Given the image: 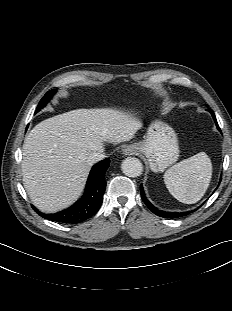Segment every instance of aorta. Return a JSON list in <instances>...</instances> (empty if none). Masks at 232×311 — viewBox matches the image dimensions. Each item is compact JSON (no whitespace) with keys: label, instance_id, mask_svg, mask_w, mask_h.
<instances>
[{"label":"aorta","instance_id":"1","mask_svg":"<svg viewBox=\"0 0 232 311\" xmlns=\"http://www.w3.org/2000/svg\"><path fill=\"white\" fill-rule=\"evenodd\" d=\"M122 172L128 177H138L142 174L143 165L141 161L134 157H128L122 161Z\"/></svg>","mask_w":232,"mask_h":311}]
</instances>
